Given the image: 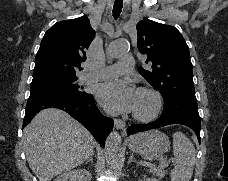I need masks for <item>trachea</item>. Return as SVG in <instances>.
<instances>
[{"instance_id":"obj_1","label":"trachea","mask_w":228,"mask_h":181,"mask_svg":"<svg viewBox=\"0 0 228 181\" xmlns=\"http://www.w3.org/2000/svg\"><path fill=\"white\" fill-rule=\"evenodd\" d=\"M123 0H115L113 5V17L114 19H118L122 12Z\"/></svg>"}]
</instances>
